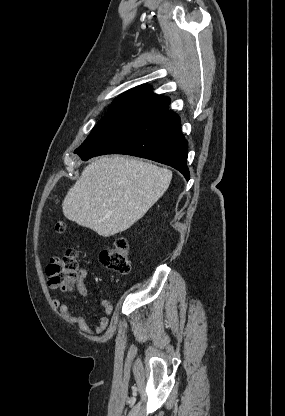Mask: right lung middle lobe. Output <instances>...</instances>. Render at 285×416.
I'll use <instances>...</instances> for the list:
<instances>
[{
	"mask_svg": "<svg viewBox=\"0 0 285 416\" xmlns=\"http://www.w3.org/2000/svg\"><path fill=\"white\" fill-rule=\"evenodd\" d=\"M162 107L131 95L117 97L108 113L92 129L75 153L83 152L130 125L161 111Z\"/></svg>",
	"mask_w": 285,
	"mask_h": 416,
	"instance_id": "right-lung-middle-lobe-1",
	"label": "right lung middle lobe"
}]
</instances>
